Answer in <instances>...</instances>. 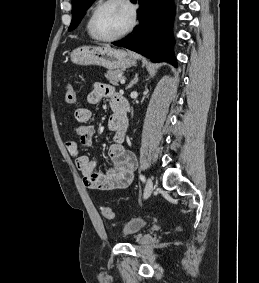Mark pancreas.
Here are the masks:
<instances>
[{"label": "pancreas", "mask_w": 259, "mask_h": 283, "mask_svg": "<svg viewBox=\"0 0 259 283\" xmlns=\"http://www.w3.org/2000/svg\"><path fill=\"white\" fill-rule=\"evenodd\" d=\"M122 74L123 71L120 69L117 70H109L107 71V73L105 74V77L107 78V80H109V82L113 85H118V82L121 80L122 78Z\"/></svg>", "instance_id": "1"}]
</instances>
